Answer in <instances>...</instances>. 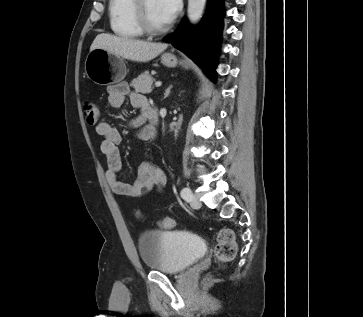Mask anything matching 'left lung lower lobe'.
I'll use <instances>...</instances> for the list:
<instances>
[{
    "mask_svg": "<svg viewBox=\"0 0 363 317\" xmlns=\"http://www.w3.org/2000/svg\"><path fill=\"white\" fill-rule=\"evenodd\" d=\"M222 2L209 0L205 18L199 26L192 27L184 20L171 36L164 39L194 60L212 81L216 79Z\"/></svg>",
    "mask_w": 363,
    "mask_h": 317,
    "instance_id": "obj_1",
    "label": "left lung lower lobe"
}]
</instances>
